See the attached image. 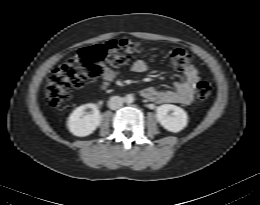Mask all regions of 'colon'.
<instances>
[{
  "mask_svg": "<svg viewBox=\"0 0 260 205\" xmlns=\"http://www.w3.org/2000/svg\"><path fill=\"white\" fill-rule=\"evenodd\" d=\"M142 48L140 43L121 39L80 49L73 58L56 67L49 76L45 87L48 104L60 105L69 98L72 90L81 87L88 80L98 78L105 63L113 66L125 65ZM166 54L177 70H182L190 61L189 53L181 48H167ZM211 91V85L207 81H199L196 85V96L200 100L207 99Z\"/></svg>",
  "mask_w": 260,
  "mask_h": 205,
  "instance_id": "5ec220e1",
  "label": "colon"
}]
</instances>
